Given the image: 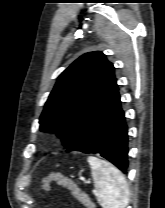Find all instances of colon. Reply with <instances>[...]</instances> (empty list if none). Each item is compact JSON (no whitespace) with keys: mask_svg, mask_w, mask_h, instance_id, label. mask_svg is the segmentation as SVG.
<instances>
[{"mask_svg":"<svg viewBox=\"0 0 165 208\" xmlns=\"http://www.w3.org/2000/svg\"><path fill=\"white\" fill-rule=\"evenodd\" d=\"M51 182H56L58 185L67 188L75 199L87 208H94V205L88 195L71 179L59 173H51L43 179L42 190H48Z\"/></svg>","mask_w":165,"mask_h":208,"instance_id":"1","label":"colon"}]
</instances>
